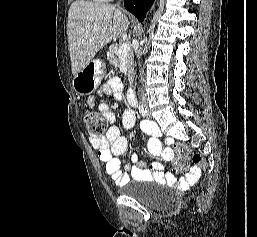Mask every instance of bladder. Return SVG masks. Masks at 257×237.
Instances as JSON below:
<instances>
[{"mask_svg":"<svg viewBox=\"0 0 257 237\" xmlns=\"http://www.w3.org/2000/svg\"><path fill=\"white\" fill-rule=\"evenodd\" d=\"M123 189V194L125 196H129L134 200L151 207L162 206L163 204L170 202L172 199V196L165 191H152L136 186L134 183H127Z\"/></svg>","mask_w":257,"mask_h":237,"instance_id":"obj_1","label":"bladder"}]
</instances>
